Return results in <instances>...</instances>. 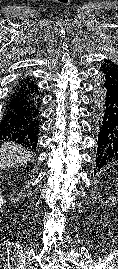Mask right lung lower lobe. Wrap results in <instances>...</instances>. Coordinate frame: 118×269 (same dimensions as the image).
<instances>
[{
  "instance_id": "98d812e1",
  "label": "right lung lower lobe",
  "mask_w": 118,
  "mask_h": 269,
  "mask_svg": "<svg viewBox=\"0 0 118 269\" xmlns=\"http://www.w3.org/2000/svg\"><path fill=\"white\" fill-rule=\"evenodd\" d=\"M40 98L38 87L20 83L11 94L0 121V139L15 141L36 150L39 132Z\"/></svg>"
}]
</instances>
